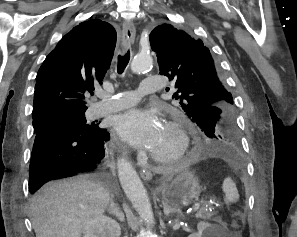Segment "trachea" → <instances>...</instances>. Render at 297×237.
<instances>
[{"label": "trachea", "instance_id": "obj_1", "mask_svg": "<svg viewBox=\"0 0 297 237\" xmlns=\"http://www.w3.org/2000/svg\"><path fill=\"white\" fill-rule=\"evenodd\" d=\"M130 60V51L128 50L124 55L118 56V66L117 71L119 74H122L128 65Z\"/></svg>", "mask_w": 297, "mask_h": 237}]
</instances>
